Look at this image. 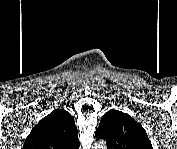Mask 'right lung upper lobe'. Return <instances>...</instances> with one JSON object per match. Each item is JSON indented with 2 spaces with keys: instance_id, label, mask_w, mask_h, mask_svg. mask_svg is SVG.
Here are the masks:
<instances>
[{
  "instance_id": "1",
  "label": "right lung upper lobe",
  "mask_w": 177,
  "mask_h": 149,
  "mask_svg": "<svg viewBox=\"0 0 177 149\" xmlns=\"http://www.w3.org/2000/svg\"><path fill=\"white\" fill-rule=\"evenodd\" d=\"M78 131L71 114L57 109L42 119L25 140V149H78Z\"/></svg>"
}]
</instances>
